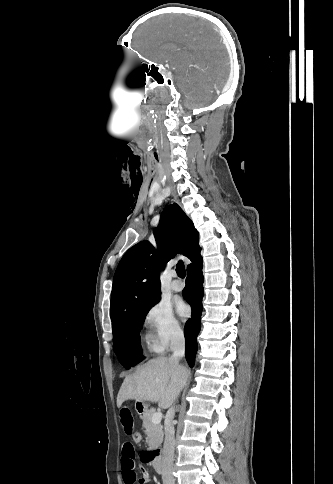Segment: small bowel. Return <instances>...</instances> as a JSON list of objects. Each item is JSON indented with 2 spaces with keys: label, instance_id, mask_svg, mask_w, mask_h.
Masks as SVG:
<instances>
[{
  "label": "small bowel",
  "instance_id": "obj_1",
  "mask_svg": "<svg viewBox=\"0 0 333 484\" xmlns=\"http://www.w3.org/2000/svg\"><path fill=\"white\" fill-rule=\"evenodd\" d=\"M121 427L126 435H133L135 432V421L129 407L123 406L119 412ZM121 470L124 484H146L150 481L148 471L139 467L141 477L137 478L135 465V450L131 442H125L122 447Z\"/></svg>",
  "mask_w": 333,
  "mask_h": 484
}]
</instances>
